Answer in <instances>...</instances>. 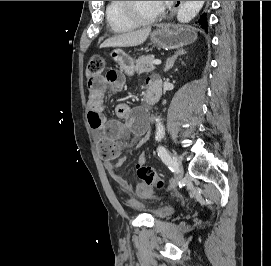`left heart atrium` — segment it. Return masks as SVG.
Returning <instances> with one entry per match:
<instances>
[{
    "mask_svg": "<svg viewBox=\"0 0 271 266\" xmlns=\"http://www.w3.org/2000/svg\"><path fill=\"white\" fill-rule=\"evenodd\" d=\"M157 2H158L159 6L161 8H163L164 6H166V5H168V4L171 3V1H157Z\"/></svg>",
    "mask_w": 271,
    "mask_h": 266,
    "instance_id": "left-heart-atrium-1",
    "label": "left heart atrium"
}]
</instances>
